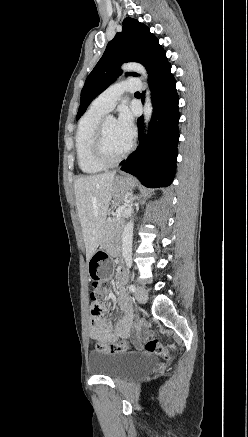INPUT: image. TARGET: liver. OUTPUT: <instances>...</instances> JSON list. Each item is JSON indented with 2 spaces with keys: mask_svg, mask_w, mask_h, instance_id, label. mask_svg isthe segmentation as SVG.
Instances as JSON below:
<instances>
[{
  "mask_svg": "<svg viewBox=\"0 0 248 437\" xmlns=\"http://www.w3.org/2000/svg\"><path fill=\"white\" fill-rule=\"evenodd\" d=\"M116 172L80 176L75 180L74 192L77 212L86 247V259L97 250L105 227L106 216L114 192Z\"/></svg>",
  "mask_w": 248,
  "mask_h": 437,
  "instance_id": "6515ba94",
  "label": "liver"
}]
</instances>
